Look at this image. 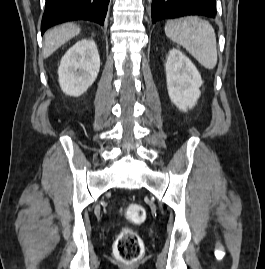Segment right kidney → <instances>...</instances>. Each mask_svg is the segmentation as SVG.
Wrapping results in <instances>:
<instances>
[{
	"instance_id": "ca27d5eb",
	"label": "right kidney",
	"mask_w": 265,
	"mask_h": 269,
	"mask_svg": "<svg viewBox=\"0 0 265 269\" xmlns=\"http://www.w3.org/2000/svg\"><path fill=\"white\" fill-rule=\"evenodd\" d=\"M100 69V56L93 40L82 39L62 57L58 68L64 93L78 97L94 83Z\"/></svg>"
}]
</instances>
